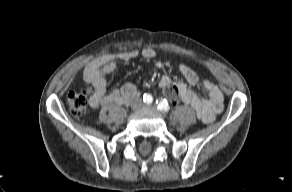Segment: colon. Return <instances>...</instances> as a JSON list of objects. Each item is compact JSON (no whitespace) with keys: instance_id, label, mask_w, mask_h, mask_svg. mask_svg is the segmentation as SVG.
I'll use <instances>...</instances> for the list:
<instances>
[{"instance_id":"colon-1","label":"colon","mask_w":292,"mask_h":192,"mask_svg":"<svg viewBox=\"0 0 292 192\" xmlns=\"http://www.w3.org/2000/svg\"><path fill=\"white\" fill-rule=\"evenodd\" d=\"M95 87L90 86L87 90H73L67 95V104L70 112L73 115H81L85 112L88 106V96L95 92ZM161 92L165 95L172 103H178L179 97L171 88H162Z\"/></svg>"}]
</instances>
